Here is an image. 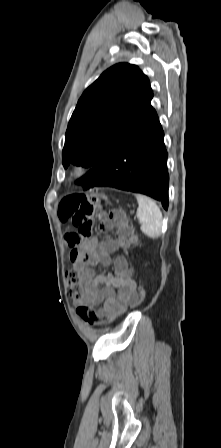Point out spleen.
<instances>
[{
  "mask_svg": "<svg viewBox=\"0 0 221 448\" xmlns=\"http://www.w3.org/2000/svg\"><path fill=\"white\" fill-rule=\"evenodd\" d=\"M138 201L137 217L141 222V231L146 236L156 239L162 230V212L157 204L150 198L136 194Z\"/></svg>",
  "mask_w": 221,
  "mask_h": 448,
  "instance_id": "1",
  "label": "spleen"
}]
</instances>
